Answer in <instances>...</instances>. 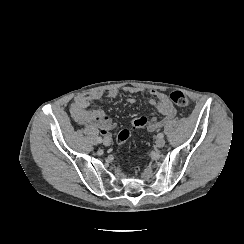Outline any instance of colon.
Masks as SVG:
<instances>
[{
	"instance_id": "obj_1",
	"label": "colon",
	"mask_w": 244,
	"mask_h": 244,
	"mask_svg": "<svg viewBox=\"0 0 244 244\" xmlns=\"http://www.w3.org/2000/svg\"><path fill=\"white\" fill-rule=\"evenodd\" d=\"M169 97L172 103L177 107H187L190 104V99L182 91H173L170 93ZM147 123H148V118L142 116L133 123V126L144 127ZM128 134L129 131L127 129H123L117 134L116 140L119 147L123 146L126 143Z\"/></svg>"
}]
</instances>
